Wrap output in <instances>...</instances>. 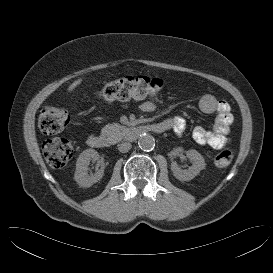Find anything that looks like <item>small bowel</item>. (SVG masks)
Instances as JSON below:
<instances>
[{"label":"small bowel","mask_w":273,"mask_h":273,"mask_svg":"<svg viewBox=\"0 0 273 273\" xmlns=\"http://www.w3.org/2000/svg\"><path fill=\"white\" fill-rule=\"evenodd\" d=\"M200 110L206 114H216L214 123L210 129L197 126L192 131L195 142L202 146H210L219 150L228 142L229 126L233 121L230 105L227 101L216 98L213 95H204L199 101ZM141 110L151 113L156 106L151 101H145L140 106ZM167 129L172 130L175 135L184 134L187 123L182 116H173L163 122Z\"/></svg>","instance_id":"obj_1"}]
</instances>
